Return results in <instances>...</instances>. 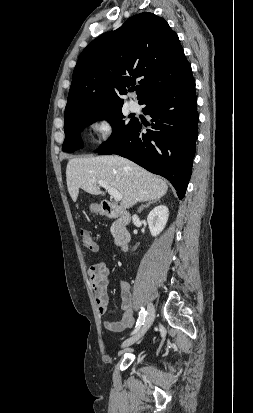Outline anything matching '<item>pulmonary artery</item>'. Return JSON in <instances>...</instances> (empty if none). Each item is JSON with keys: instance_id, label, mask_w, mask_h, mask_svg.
Segmentation results:
<instances>
[{"instance_id": "obj_1", "label": "pulmonary artery", "mask_w": 253, "mask_h": 413, "mask_svg": "<svg viewBox=\"0 0 253 413\" xmlns=\"http://www.w3.org/2000/svg\"><path fill=\"white\" fill-rule=\"evenodd\" d=\"M129 109L133 112L138 111L139 109V104L136 100H130L129 101Z\"/></svg>"}]
</instances>
